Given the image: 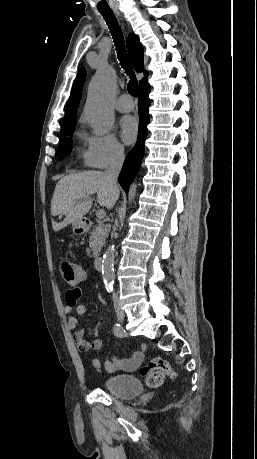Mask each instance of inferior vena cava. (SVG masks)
<instances>
[{"mask_svg":"<svg viewBox=\"0 0 257 459\" xmlns=\"http://www.w3.org/2000/svg\"><path fill=\"white\" fill-rule=\"evenodd\" d=\"M123 162H124V149L120 147L115 148L110 158L109 167L105 171V175L107 176L111 187L115 191H118V185H117L118 175L121 171ZM113 302H114V306L118 307L119 299L115 292L113 293Z\"/></svg>","mask_w":257,"mask_h":459,"instance_id":"inferior-vena-cava-1","label":"inferior vena cava"}]
</instances>
